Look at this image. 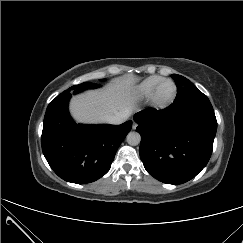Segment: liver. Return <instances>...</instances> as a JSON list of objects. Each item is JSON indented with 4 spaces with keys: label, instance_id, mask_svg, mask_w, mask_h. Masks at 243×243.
Listing matches in <instances>:
<instances>
[{
    "label": "liver",
    "instance_id": "obj_1",
    "mask_svg": "<svg viewBox=\"0 0 243 243\" xmlns=\"http://www.w3.org/2000/svg\"><path fill=\"white\" fill-rule=\"evenodd\" d=\"M137 78L124 75L114 79L104 89L88 91L76 96L70 103V111L79 122L99 123L118 113L131 114L134 107V86Z\"/></svg>",
    "mask_w": 243,
    "mask_h": 243
}]
</instances>
